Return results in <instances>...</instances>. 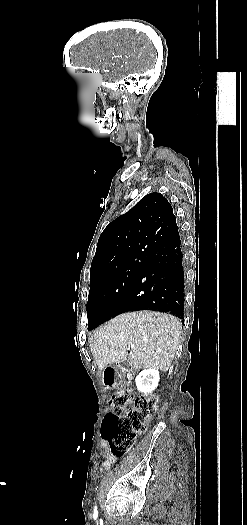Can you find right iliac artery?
<instances>
[{
	"mask_svg": "<svg viewBox=\"0 0 247 525\" xmlns=\"http://www.w3.org/2000/svg\"><path fill=\"white\" fill-rule=\"evenodd\" d=\"M97 515H98V511H97V508H96V506H95V508H94V517L96 518Z\"/></svg>",
	"mask_w": 247,
	"mask_h": 525,
	"instance_id": "obj_1",
	"label": "right iliac artery"
}]
</instances>
